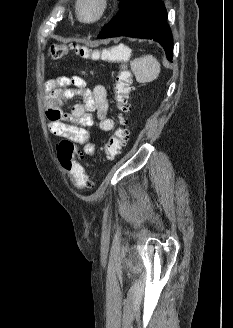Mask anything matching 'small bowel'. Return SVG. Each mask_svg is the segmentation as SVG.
I'll return each mask as SVG.
<instances>
[{
    "instance_id": "1",
    "label": "small bowel",
    "mask_w": 233,
    "mask_h": 328,
    "mask_svg": "<svg viewBox=\"0 0 233 328\" xmlns=\"http://www.w3.org/2000/svg\"><path fill=\"white\" fill-rule=\"evenodd\" d=\"M45 92L50 132L82 145L85 155H93L95 145L90 140V128L94 124L93 114H96L97 126L101 131H111L115 125L114 120L109 117L105 87L96 85L89 89L80 76H60L46 82ZM77 95H80L83 101L73 105L69 114L64 113L62 106Z\"/></svg>"
}]
</instances>
